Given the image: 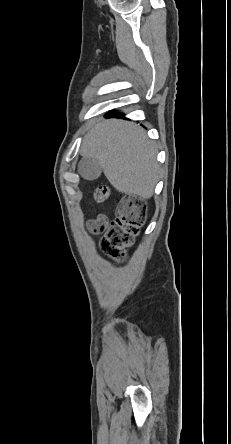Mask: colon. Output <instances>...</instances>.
<instances>
[{"label": "colon", "mask_w": 231, "mask_h": 444, "mask_svg": "<svg viewBox=\"0 0 231 444\" xmlns=\"http://www.w3.org/2000/svg\"><path fill=\"white\" fill-rule=\"evenodd\" d=\"M108 189L100 187L94 194L97 201H104L108 197ZM146 216V204L137 197L123 199L116 219L109 222L104 215L90 220L88 230L93 234H103L101 247L110 256L122 258L126 249L132 245L134 238L143 225Z\"/></svg>", "instance_id": "colon-1"}]
</instances>
